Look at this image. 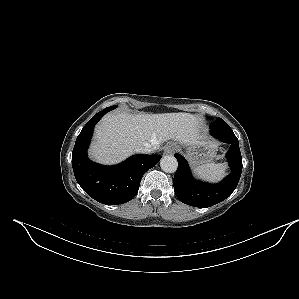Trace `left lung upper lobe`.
<instances>
[{
    "label": "left lung upper lobe",
    "instance_id": "5c2ea615",
    "mask_svg": "<svg viewBox=\"0 0 299 299\" xmlns=\"http://www.w3.org/2000/svg\"><path fill=\"white\" fill-rule=\"evenodd\" d=\"M216 121H220V122H225L223 119H221V118H218ZM215 121V122H216Z\"/></svg>",
    "mask_w": 299,
    "mask_h": 299
}]
</instances>
